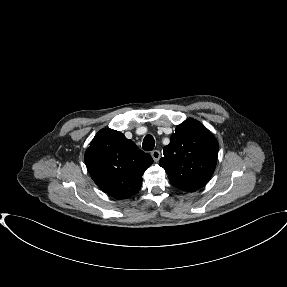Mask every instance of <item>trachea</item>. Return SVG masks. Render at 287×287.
I'll list each match as a JSON object with an SVG mask.
<instances>
[{"label":"trachea","mask_w":287,"mask_h":287,"mask_svg":"<svg viewBox=\"0 0 287 287\" xmlns=\"http://www.w3.org/2000/svg\"><path fill=\"white\" fill-rule=\"evenodd\" d=\"M155 146V140L151 135L145 136L143 139L142 147L145 151H152Z\"/></svg>","instance_id":"3493384b"}]
</instances>
